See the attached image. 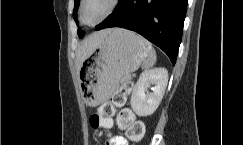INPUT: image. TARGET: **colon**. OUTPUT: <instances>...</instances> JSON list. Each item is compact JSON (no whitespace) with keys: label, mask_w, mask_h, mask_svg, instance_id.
Instances as JSON below:
<instances>
[{"label":"colon","mask_w":243,"mask_h":145,"mask_svg":"<svg viewBox=\"0 0 243 145\" xmlns=\"http://www.w3.org/2000/svg\"><path fill=\"white\" fill-rule=\"evenodd\" d=\"M132 90V83H125L111 97L110 101L101 104L95 114L90 117L89 123L93 130L99 128H110L112 126V117L115 114L116 107H121L125 103L126 94ZM117 125L125 130L127 137L132 141H139L144 136V125L136 121L134 115L129 109H122L117 115ZM103 145H110L106 142Z\"/></svg>","instance_id":"1"}]
</instances>
